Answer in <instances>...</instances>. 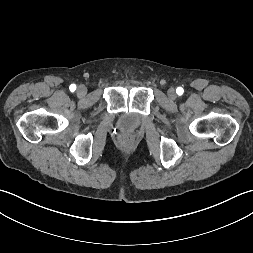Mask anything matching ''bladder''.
I'll return each instance as SVG.
<instances>
[{"instance_id":"31cf9c89","label":"bladder","mask_w":253,"mask_h":253,"mask_svg":"<svg viewBox=\"0 0 253 253\" xmlns=\"http://www.w3.org/2000/svg\"><path fill=\"white\" fill-rule=\"evenodd\" d=\"M139 123V117L134 113H125L121 116V124L126 128L136 127Z\"/></svg>"}]
</instances>
